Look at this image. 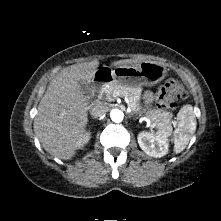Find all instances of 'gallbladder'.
Segmentation results:
<instances>
[{
    "label": "gallbladder",
    "instance_id": "bac80fb5",
    "mask_svg": "<svg viewBox=\"0 0 221 221\" xmlns=\"http://www.w3.org/2000/svg\"><path fill=\"white\" fill-rule=\"evenodd\" d=\"M79 84H80L81 89L85 95L88 96V95L92 94L93 88L90 83H87L85 81H79Z\"/></svg>",
    "mask_w": 221,
    "mask_h": 221
}]
</instances>
